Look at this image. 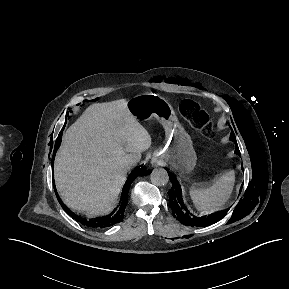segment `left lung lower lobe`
Wrapping results in <instances>:
<instances>
[{"label":"left lung lower lobe","mask_w":289,"mask_h":289,"mask_svg":"<svg viewBox=\"0 0 289 289\" xmlns=\"http://www.w3.org/2000/svg\"><path fill=\"white\" fill-rule=\"evenodd\" d=\"M169 178L172 179L171 182H173L172 188L168 192L169 197H170L169 204L171 206L173 215L174 216L176 215L182 224L189 225V226L203 227V226H207V225H210L212 223H215L223 217V216H219V217L213 218V217H196V216H194L184 206V203L182 200L181 187H180L177 179L171 173H169Z\"/></svg>","instance_id":"0a47b994"}]
</instances>
